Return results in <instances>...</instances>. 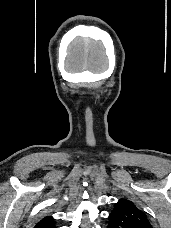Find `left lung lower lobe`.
Here are the masks:
<instances>
[{"label":"left lung lower lobe","mask_w":171,"mask_h":228,"mask_svg":"<svg viewBox=\"0 0 171 228\" xmlns=\"http://www.w3.org/2000/svg\"><path fill=\"white\" fill-rule=\"evenodd\" d=\"M107 228H113V226L110 224V222H109V225ZM125 228H152V227L142 226V225H130V226H126Z\"/></svg>","instance_id":"left-lung-lower-lobe-1"}]
</instances>
